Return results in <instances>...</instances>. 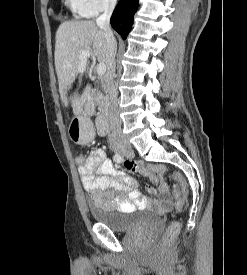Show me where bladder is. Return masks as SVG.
Returning a JSON list of instances; mask_svg holds the SVG:
<instances>
[{
    "mask_svg": "<svg viewBox=\"0 0 247 275\" xmlns=\"http://www.w3.org/2000/svg\"><path fill=\"white\" fill-rule=\"evenodd\" d=\"M89 211L95 222L107 226L113 231H129L136 225L154 226L160 221L157 213L149 211L120 212L89 205ZM138 215V218H134Z\"/></svg>",
    "mask_w": 247,
    "mask_h": 275,
    "instance_id": "1",
    "label": "bladder"
}]
</instances>
